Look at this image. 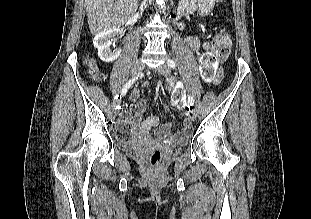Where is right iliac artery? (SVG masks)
<instances>
[{
    "instance_id": "82829eb1",
    "label": "right iliac artery",
    "mask_w": 311,
    "mask_h": 219,
    "mask_svg": "<svg viewBox=\"0 0 311 219\" xmlns=\"http://www.w3.org/2000/svg\"><path fill=\"white\" fill-rule=\"evenodd\" d=\"M142 76V73L138 74L137 77H134L133 79L129 80L123 87L122 91H121V95L122 96H125L128 89L132 86V84L138 79V77H141ZM117 99V97L115 98Z\"/></svg>"
}]
</instances>
